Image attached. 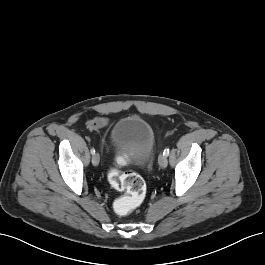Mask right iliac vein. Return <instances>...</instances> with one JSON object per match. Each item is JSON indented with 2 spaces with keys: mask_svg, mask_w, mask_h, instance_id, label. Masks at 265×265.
<instances>
[{
  "mask_svg": "<svg viewBox=\"0 0 265 265\" xmlns=\"http://www.w3.org/2000/svg\"><path fill=\"white\" fill-rule=\"evenodd\" d=\"M99 161H100V156L98 153H94L93 156H92V164L94 166H97L99 164Z\"/></svg>",
  "mask_w": 265,
  "mask_h": 265,
  "instance_id": "1",
  "label": "right iliac vein"
}]
</instances>
